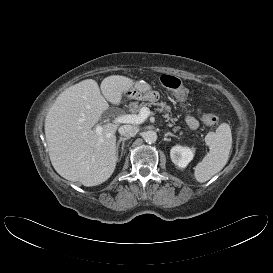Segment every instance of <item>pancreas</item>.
Segmentation results:
<instances>
[{
	"mask_svg": "<svg viewBox=\"0 0 273 273\" xmlns=\"http://www.w3.org/2000/svg\"><path fill=\"white\" fill-rule=\"evenodd\" d=\"M152 105L154 106H158L157 110L160 111V112H164V115L163 117L165 118V121L166 122H169V126H173V124L177 121L176 118H173L172 117V113H171V107L168 106L166 104V102H150V103H145V102H142V103H138V102H131L128 106L129 108V111L133 114H137L138 112H140L141 108L143 107H151ZM178 130V127H176L174 129V131H177Z\"/></svg>",
	"mask_w": 273,
	"mask_h": 273,
	"instance_id": "pancreas-1",
	"label": "pancreas"
}]
</instances>
